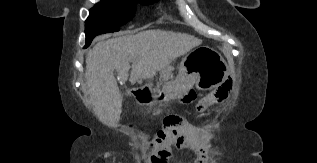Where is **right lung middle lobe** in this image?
<instances>
[{
	"label": "right lung middle lobe",
	"mask_w": 317,
	"mask_h": 163,
	"mask_svg": "<svg viewBox=\"0 0 317 163\" xmlns=\"http://www.w3.org/2000/svg\"><path fill=\"white\" fill-rule=\"evenodd\" d=\"M156 1L158 0H103L95 5L90 9L85 24L86 45L89 46L98 34L118 31L119 26L134 16L137 2L151 4Z\"/></svg>",
	"instance_id": "1"
}]
</instances>
